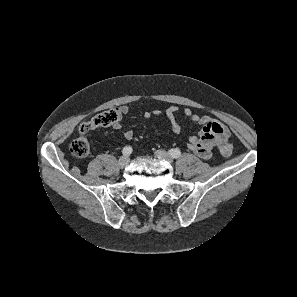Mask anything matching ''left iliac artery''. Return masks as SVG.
I'll return each mask as SVG.
<instances>
[{
    "mask_svg": "<svg viewBox=\"0 0 297 297\" xmlns=\"http://www.w3.org/2000/svg\"><path fill=\"white\" fill-rule=\"evenodd\" d=\"M169 154L173 157V158H179L181 156V151L177 148L175 149H170L169 150Z\"/></svg>",
    "mask_w": 297,
    "mask_h": 297,
    "instance_id": "obj_1",
    "label": "left iliac artery"
}]
</instances>
